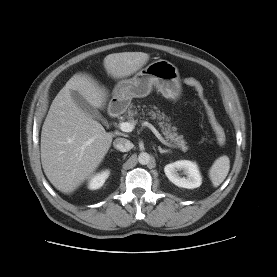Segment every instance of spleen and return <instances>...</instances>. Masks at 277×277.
Wrapping results in <instances>:
<instances>
[{
	"label": "spleen",
	"mask_w": 277,
	"mask_h": 277,
	"mask_svg": "<svg viewBox=\"0 0 277 277\" xmlns=\"http://www.w3.org/2000/svg\"><path fill=\"white\" fill-rule=\"evenodd\" d=\"M230 169L228 156L217 158L209 170V177L214 187H218L227 177Z\"/></svg>",
	"instance_id": "obj_1"
}]
</instances>
